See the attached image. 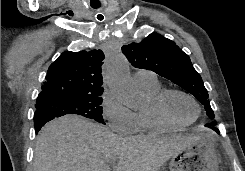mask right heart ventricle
<instances>
[{
    "mask_svg": "<svg viewBox=\"0 0 245 171\" xmlns=\"http://www.w3.org/2000/svg\"><path fill=\"white\" fill-rule=\"evenodd\" d=\"M138 87L146 98L147 104L136 112L138 120L137 133L156 135L175 130L176 128H172L161 122L154 112L153 102L157 95L163 90L158 80L155 83Z\"/></svg>",
    "mask_w": 245,
    "mask_h": 171,
    "instance_id": "e07e8e85",
    "label": "right heart ventricle"
}]
</instances>
